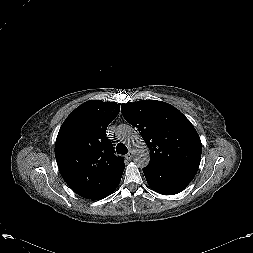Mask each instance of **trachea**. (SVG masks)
Returning <instances> with one entry per match:
<instances>
[{"instance_id": "obj_1", "label": "trachea", "mask_w": 253, "mask_h": 253, "mask_svg": "<svg viewBox=\"0 0 253 253\" xmlns=\"http://www.w3.org/2000/svg\"><path fill=\"white\" fill-rule=\"evenodd\" d=\"M116 152L121 155H125L128 152L127 147L123 143H118L116 146Z\"/></svg>"}]
</instances>
